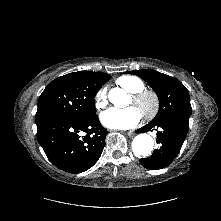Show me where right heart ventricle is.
Segmentation results:
<instances>
[{"label":"right heart ventricle","mask_w":221,"mask_h":221,"mask_svg":"<svg viewBox=\"0 0 221 221\" xmlns=\"http://www.w3.org/2000/svg\"><path fill=\"white\" fill-rule=\"evenodd\" d=\"M116 83L130 93H136L145 88L143 80L132 75L121 76L117 79Z\"/></svg>","instance_id":"1"}]
</instances>
